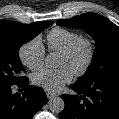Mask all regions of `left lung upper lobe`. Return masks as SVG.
Segmentation results:
<instances>
[{"instance_id":"left-lung-upper-lobe-1","label":"left lung upper lobe","mask_w":119,"mask_h":119,"mask_svg":"<svg viewBox=\"0 0 119 119\" xmlns=\"http://www.w3.org/2000/svg\"><path fill=\"white\" fill-rule=\"evenodd\" d=\"M57 24L82 28L95 40L96 48L92 62L77 84L119 82V27L117 25L95 13L58 20Z\"/></svg>"}]
</instances>
